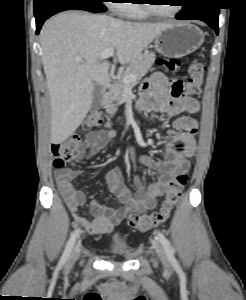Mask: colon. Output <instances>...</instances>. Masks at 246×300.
Here are the masks:
<instances>
[{
  "instance_id": "1",
  "label": "colon",
  "mask_w": 246,
  "mask_h": 300,
  "mask_svg": "<svg viewBox=\"0 0 246 300\" xmlns=\"http://www.w3.org/2000/svg\"><path fill=\"white\" fill-rule=\"evenodd\" d=\"M160 64L168 72H176L182 67V63L176 58L161 59ZM204 71L205 67L201 62L197 60L191 62L188 67V78L184 84V91L187 94H197L201 91ZM195 111H197V108L194 109ZM101 122V114L92 112L85 119L83 128L92 130L100 126ZM81 142V136L72 135L62 142L54 143L51 147L54 168L63 169L78 157L82 153ZM187 179L185 172L178 173L169 185L162 207L158 211L149 214H131L128 217L129 225L137 230L146 231L162 224L179 201Z\"/></svg>"
}]
</instances>
